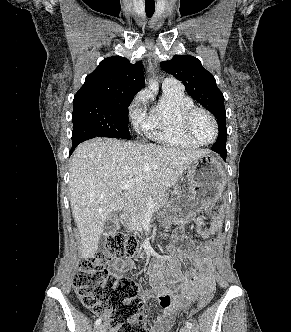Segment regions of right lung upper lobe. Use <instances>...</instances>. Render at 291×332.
Wrapping results in <instances>:
<instances>
[{
	"label": "right lung upper lobe",
	"instance_id": "cb5924a9",
	"mask_svg": "<svg viewBox=\"0 0 291 332\" xmlns=\"http://www.w3.org/2000/svg\"><path fill=\"white\" fill-rule=\"evenodd\" d=\"M144 86L141 62L131 64L124 57L113 56L101 61L94 72L86 77L74 99L115 95L133 98Z\"/></svg>",
	"mask_w": 291,
	"mask_h": 332
}]
</instances>
